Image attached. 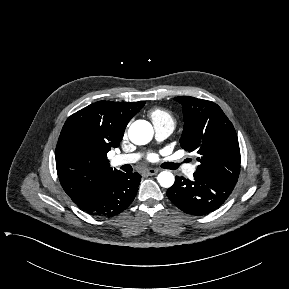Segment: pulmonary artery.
Listing matches in <instances>:
<instances>
[{
  "label": "pulmonary artery",
  "instance_id": "e3ab8cb5",
  "mask_svg": "<svg viewBox=\"0 0 289 289\" xmlns=\"http://www.w3.org/2000/svg\"><path fill=\"white\" fill-rule=\"evenodd\" d=\"M155 135L158 140H163L167 138L174 130V127L171 125H154ZM140 159V154H123L116 155L112 159V164L115 166L135 163ZM196 170V165L190 164L184 167V171L187 175H192Z\"/></svg>",
  "mask_w": 289,
  "mask_h": 289
}]
</instances>
